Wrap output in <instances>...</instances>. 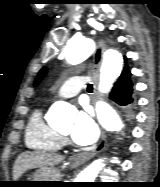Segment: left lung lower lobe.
I'll return each mask as SVG.
<instances>
[{
	"label": "left lung lower lobe",
	"instance_id": "obj_1",
	"mask_svg": "<svg viewBox=\"0 0 160 187\" xmlns=\"http://www.w3.org/2000/svg\"><path fill=\"white\" fill-rule=\"evenodd\" d=\"M130 76L131 72L126 65L110 93V98L123 107V110L128 117H132L135 107L133 84Z\"/></svg>",
	"mask_w": 160,
	"mask_h": 187
}]
</instances>
